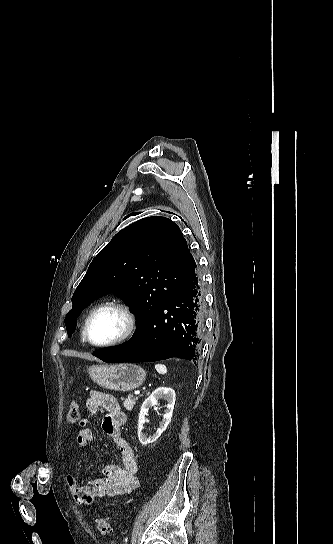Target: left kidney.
Wrapping results in <instances>:
<instances>
[{"label": "left kidney", "instance_id": "5707ae66", "mask_svg": "<svg viewBox=\"0 0 333 544\" xmlns=\"http://www.w3.org/2000/svg\"><path fill=\"white\" fill-rule=\"evenodd\" d=\"M164 398L167 401V409L163 414L162 422L160 423L159 428L153 435H149L143 432L144 424L146 422L145 416L148 413L150 407L158 405V400ZM175 404V391L171 388L160 387L157 388L152 394L143 402L139 414L138 420V438L141 444L147 445L149 443L155 442L160 435L166 430L167 426L171 421V417L174 410Z\"/></svg>", "mask_w": 333, "mask_h": 544}]
</instances>
